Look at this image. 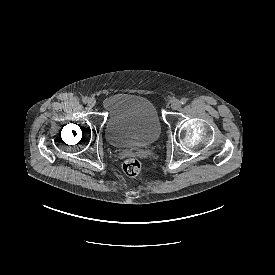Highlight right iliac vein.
<instances>
[{
  "instance_id": "63e3f726",
  "label": "right iliac vein",
  "mask_w": 275,
  "mask_h": 275,
  "mask_svg": "<svg viewBox=\"0 0 275 275\" xmlns=\"http://www.w3.org/2000/svg\"><path fill=\"white\" fill-rule=\"evenodd\" d=\"M95 105H96V100L94 98H90L88 101V106L92 108Z\"/></svg>"
}]
</instances>
